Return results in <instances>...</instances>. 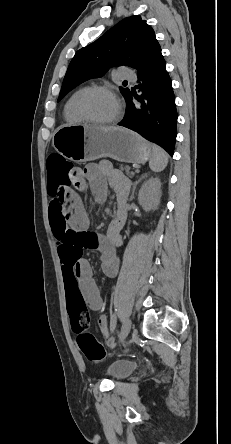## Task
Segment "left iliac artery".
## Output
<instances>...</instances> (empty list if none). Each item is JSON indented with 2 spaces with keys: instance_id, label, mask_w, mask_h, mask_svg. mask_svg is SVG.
<instances>
[{
  "instance_id": "1",
  "label": "left iliac artery",
  "mask_w": 231,
  "mask_h": 444,
  "mask_svg": "<svg viewBox=\"0 0 231 444\" xmlns=\"http://www.w3.org/2000/svg\"><path fill=\"white\" fill-rule=\"evenodd\" d=\"M115 311H117V309H115ZM116 324H117V318H116V313H114L111 316V320H110V328H111L112 332L114 331Z\"/></svg>"
}]
</instances>
